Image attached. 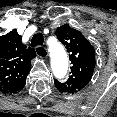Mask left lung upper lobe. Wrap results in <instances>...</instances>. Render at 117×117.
<instances>
[{
    "instance_id": "5c2ea615",
    "label": "left lung upper lobe",
    "mask_w": 117,
    "mask_h": 117,
    "mask_svg": "<svg viewBox=\"0 0 117 117\" xmlns=\"http://www.w3.org/2000/svg\"><path fill=\"white\" fill-rule=\"evenodd\" d=\"M55 34L66 46L73 64L69 79L65 83L55 80V85L61 93L74 94L82 90L93 76L96 64L94 47L79 31L68 24L57 28Z\"/></svg>"
}]
</instances>
